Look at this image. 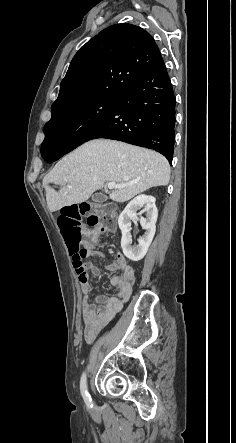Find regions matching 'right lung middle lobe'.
Here are the masks:
<instances>
[{
  "instance_id": "obj_1",
  "label": "right lung middle lobe",
  "mask_w": 236,
  "mask_h": 443,
  "mask_svg": "<svg viewBox=\"0 0 236 443\" xmlns=\"http://www.w3.org/2000/svg\"><path fill=\"white\" fill-rule=\"evenodd\" d=\"M116 98L114 95H97L52 115L44 127L45 139L41 149L47 146H68L71 139L104 114Z\"/></svg>"
}]
</instances>
